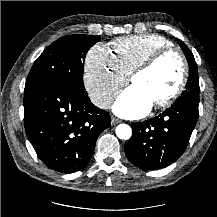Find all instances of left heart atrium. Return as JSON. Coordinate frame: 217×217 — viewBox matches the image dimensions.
<instances>
[{
	"label": "left heart atrium",
	"mask_w": 217,
	"mask_h": 217,
	"mask_svg": "<svg viewBox=\"0 0 217 217\" xmlns=\"http://www.w3.org/2000/svg\"><path fill=\"white\" fill-rule=\"evenodd\" d=\"M153 102L136 85L126 88L113 103V111L125 118H139L146 115Z\"/></svg>",
	"instance_id": "39dd6f15"
}]
</instances>
